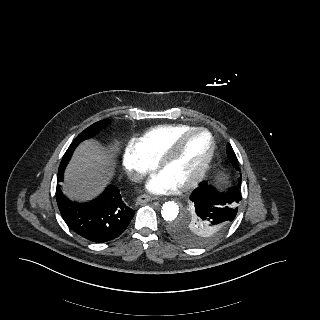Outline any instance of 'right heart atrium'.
<instances>
[{"instance_id":"right-heart-atrium-1","label":"right heart atrium","mask_w":320,"mask_h":320,"mask_svg":"<svg viewBox=\"0 0 320 320\" xmlns=\"http://www.w3.org/2000/svg\"><path fill=\"white\" fill-rule=\"evenodd\" d=\"M122 165L129 178L134 182L140 181L155 168V162L147 158L134 143L127 146L122 156Z\"/></svg>"}]
</instances>
